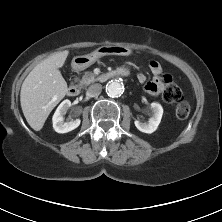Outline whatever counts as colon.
Returning a JSON list of instances; mask_svg holds the SVG:
<instances>
[{
    "mask_svg": "<svg viewBox=\"0 0 222 222\" xmlns=\"http://www.w3.org/2000/svg\"><path fill=\"white\" fill-rule=\"evenodd\" d=\"M163 84L164 100L168 103L176 104L175 113L178 119H186L190 114V105L184 99L181 89L168 75L163 77Z\"/></svg>",
    "mask_w": 222,
    "mask_h": 222,
    "instance_id": "colon-1",
    "label": "colon"
}]
</instances>
